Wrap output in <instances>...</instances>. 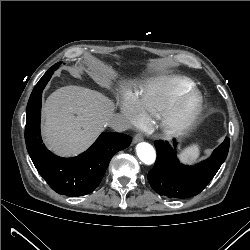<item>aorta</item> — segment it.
Returning <instances> with one entry per match:
<instances>
[{
	"label": "aorta",
	"mask_w": 250,
	"mask_h": 250,
	"mask_svg": "<svg viewBox=\"0 0 250 250\" xmlns=\"http://www.w3.org/2000/svg\"><path fill=\"white\" fill-rule=\"evenodd\" d=\"M138 158L145 164L151 165L155 162L156 152L152 145L146 142H141L136 146Z\"/></svg>",
	"instance_id": "1"
}]
</instances>
